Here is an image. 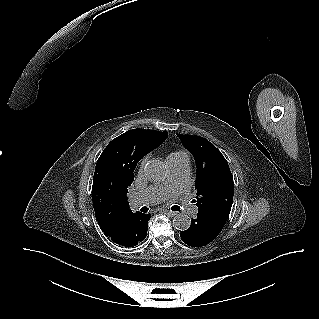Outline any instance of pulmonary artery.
<instances>
[{"label": "pulmonary artery", "instance_id": "obj_1", "mask_svg": "<svg viewBox=\"0 0 319 319\" xmlns=\"http://www.w3.org/2000/svg\"><path fill=\"white\" fill-rule=\"evenodd\" d=\"M170 168V179L164 187H150L130 198V205L133 208H139L146 205L156 204L164 200L171 191L183 190L188 182L190 175V163L187 156L168 161ZM179 205L188 209V204L181 201Z\"/></svg>", "mask_w": 319, "mask_h": 319}]
</instances>
